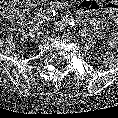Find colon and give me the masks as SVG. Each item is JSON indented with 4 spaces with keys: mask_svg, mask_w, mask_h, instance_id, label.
<instances>
[{
    "mask_svg": "<svg viewBox=\"0 0 118 118\" xmlns=\"http://www.w3.org/2000/svg\"><path fill=\"white\" fill-rule=\"evenodd\" d=\"M24 8V0H0V14L7 18L19 16Z\"/></svg>",
    "mask_w": 118,
    "mask_h": 118,
    "instance_id": "obj_1",
    "label": "colon"
}]
</instances>
